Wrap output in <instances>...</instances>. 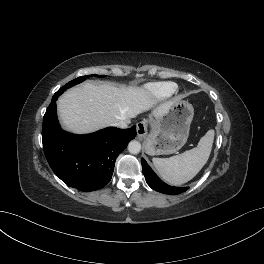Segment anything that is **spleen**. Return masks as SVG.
<instances>
[{
  "label": "spleen",
  "instance_id": "3e777b00",
  "mask_svg": "<svg viewBox=\"0 0 264 264\" xmlns=\"http://www.w3.org/2000/svg\"><path fill=\"white\" fill-rule=\"evenodd\" d=\"M214 135L215 132L211 129L200 139L197 147L170 158H153L159 175L172 185L190 181L206 164L212 150Z\"/></svg>",
  "mask_w": 264,
  "mask_h": 264
}]
</instances>
